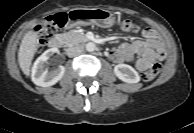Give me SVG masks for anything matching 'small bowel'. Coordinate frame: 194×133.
<instances>
[{
    "mask_svg": "<svg viewBox=\"0 0 194 133\" xmlns=\"http://www.w3.org/2000/svg\"><path fill=\"white\" fill-rule=\"evenodd\" d=\"M143 40H135L131 43H122L109 53L114 62H131L135 59V68L146 71L156 61L165 58V47L158 33L152 28L142 31Z\"/></svg>",
    "mask_w": 194,
    "mask_h": 133,
    "instance_id": "1",
    "label": "small bowel"
}]
</instances>
